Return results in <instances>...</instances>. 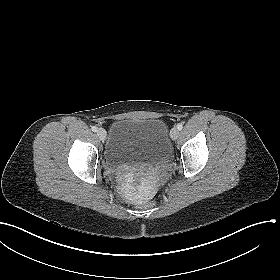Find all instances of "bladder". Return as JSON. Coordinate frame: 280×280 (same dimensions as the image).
Listing matches in <instances>:
<instances>
[{
	"instance_id": "31cf9c89",
	"label": "bladder",
	"mask_w": 280,
	"mask_h": 280,
	"mask_svg": "<svg viewBox=\"0 0 280 280\" xmlns=\"http://www.w3.org/2000/svg\"><path fill=\"white\" fill-rule=\"evenodd\" d=\"M170 151L167 125L162 119L127 117L111 125L103 157L111 164H155L166 160Z\"/></svg>"
}]
</instances>
